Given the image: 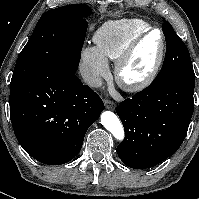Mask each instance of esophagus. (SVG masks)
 Returning a JSON list of instances; mask_svg holds the SVG:
<instances>
[{"mask_svg": "<svg viewBox=\"0 0 199 199\" xmlns=\"http://www.w3.org/2000/svg\"><path fill=\"white\" fill-rule=\"evenodd\" d=\"M105 107H106V109L115 110L116 105H115L114 102L106 100L105 101Z\"/></svg>", "mask_w": 199, "mask_h": 199, "instance_id": "1", "label": "esophagus"}]
</instances>
